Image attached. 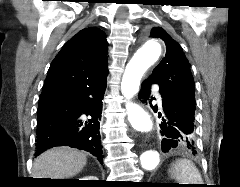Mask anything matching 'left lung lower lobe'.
<instances>
[{"instance_id":"0a47b994","label":"left lung lower lobe","mask_w":240,"mask_h":187,"mask_svg":"<svg viewBox=\"0 0 240 187\" xmlns=\"http://www.w3.org/2000/svg\"><path fill=\"white\" fill-rule=\"evenodd\" d=\"M155 82L148 78L142 83L141 91L139 92V99L142 102L150 103L151 108L156 113L158 111L157 105L153 106L151 101V85ZM159 93L162 98V114L159 112V117H162L160 125L162 139L161 148L164 153L175 148H181L192 154L196 153V142L194 137V115L195 104L186 101L176 95H173L163 89L159 88Z\"/></svg>"}]
</instances>
